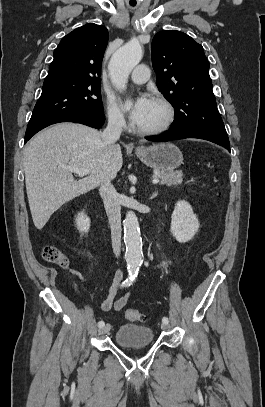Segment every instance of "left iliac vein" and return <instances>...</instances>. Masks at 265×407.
<instances>
[{"label": "left iliac vein", "instance_id": "obj_1", "mask_svg": "<svg viewBox=\"0 0 265 407\" xmlns=\"http://www.w3.org/2000/svg\"><path fill=\"white\" fill-rule=\"evenodd\" d=\"M161 329L162 330H167V329H169V325L167 323H162L161 324Z\"/></svg>", "mask_w": 265, "mask_h": 407}]
</instances>
